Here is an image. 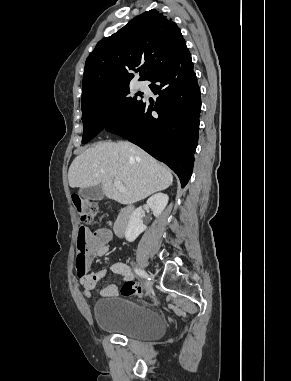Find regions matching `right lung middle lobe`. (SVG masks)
Listing matches in <instances>:
<instances>
[{"label": "right lung middle lobe", "instance_id": "dd1d6c3e", "mask_svg": "<svg viewBox=\"0 0 291 381\" xmlns=\"http://www.w3.org/2000/svg\"><path fill=\"white\" fill-rule=\"evenodd\" d=\"M130 95L129 85L102 93L82 104L83 138L89 142L105 127L115 126L132 115L143 102Z\"/></svg>", "mask_w": 291, "mask_h": 381}]
</instances>
